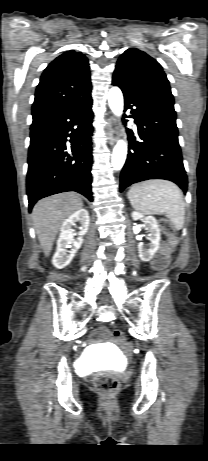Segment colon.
I'll list each match as a JSON object with an SVG mask.
<instances>
[{
    "mask_svg": "<svg viewBox=\"0 0 208 461\" xmlns=\"http://www.w3.org/2000/svg\"><path fill=\"white\" fill-rule=\"evenodd\" d=\"M160 228L162 229L163 233L169 238V244H165L162 246L154 260V266L158 269L166 265L169 258L171 246L175 244L173 225L166 219H161ZM113 334L117 341L122 343L125 342V337L122 331L116 330ZM94 388L100 394L108 396L117 391V389L119 388V381L117 378L109 374L101 373L94 378Z\"/></svg>",
    "mask_w": 208,
    "mask_h": 461,
    "instance_id": "obj_1",
    "label": "colon"
}]
</instances>
